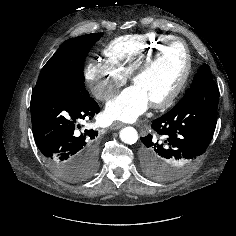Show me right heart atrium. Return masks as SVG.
I'll return each instance as SVG.
<instances>
[{"mask_svg": "<svg viewBox=\"0 0 236 236\" xmlns=\"http://www.w3.org/2000/svg\"><path fill=\"white\" fill-rule=\"evenodd\" d=\"M85 79L92 94L106 101L118 92L126 81V75L116 70L107 60L90 61L85 68Z\"/></svg>", "mask_w": 236, "mask_h": 236, "instance_id": "right-heart-atrium-1", "label": "right heart atrium"}]
</instances>
